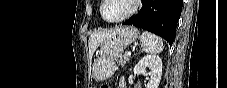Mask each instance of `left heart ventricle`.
Here are the masks:
<instances>
[{
	"instance_id": "left-heart-ventricle-1",
	"label": "left heart ventricle",
	"mask_w": 227,
	"mask_h": 88,
	"mask_svg": "<svg viewBox=\"0 0 227 88\" xmlns=\"http://www.w3.org/2000/svg\"><path fill=\"white\" fill-rule=\"evenodd\" d=\"M129 9L128 0H110L104 8V14L108 19H116L123 16Z\"/></svg>"
}]
</instances>
